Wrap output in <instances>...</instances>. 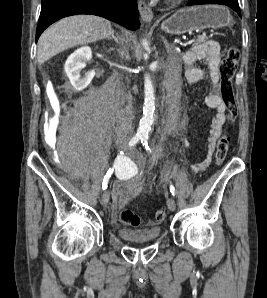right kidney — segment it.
Wrapping results in <instances>:
<instances>
[{
	"instance_id": "ca27d5eb",
	"label": "right kidney",
	"mask_w": 267,
	"mask_h": 298,
	"mask_svg": "<svg viewBox=\"0 0 267 298\" xmlns=\"http://www.w3.org/2000/svg\"><path fill=\"white\" fill-rule=\"evenodd\" d=\"M92 57L91 48L88 46L75 50L66 60L64 69L71 85L77 91L85 89L95 76V71H90L81 77V70L86 66V61Z\"/></svg>"
}]
</instances>
